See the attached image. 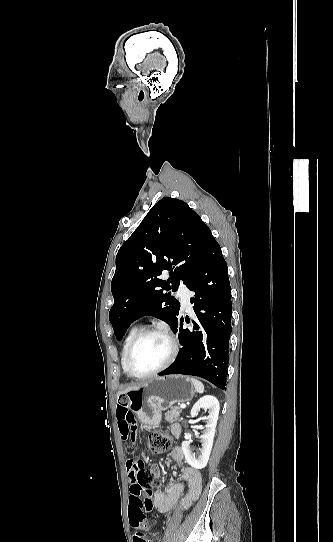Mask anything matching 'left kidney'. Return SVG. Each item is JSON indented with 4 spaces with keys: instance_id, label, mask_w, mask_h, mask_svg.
<instances>
[{
    "instance_id": "left-kidney-1",
    "label": "left kidney",
    "mask_w": 333,
    "mask_h": 542,
    "mask_svg": "<svg viewBox=\"0 0 333 542\" xmlns=\"http://www.w3.org/2000/svg\"><path fill=\"white\" fill-rule=\"evenodd\" d=\"M201 408H203V410H208V416H206L207 422L206 426H204L206 430H204L203 436H200L202 448L200 450L201 454L199 458L193 456L190 450V442H182L185 460L192 468H196V470H203L208 464L220 410L217 398H214V396H203V398H200V400L194 404L190 416H197Z\"/></svg>"
}]
</instances>
